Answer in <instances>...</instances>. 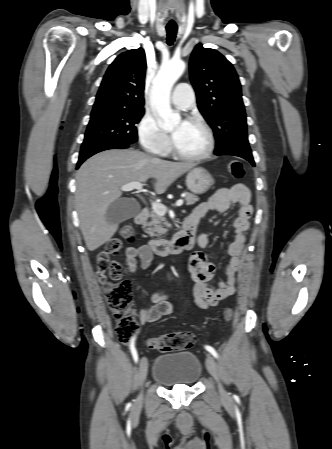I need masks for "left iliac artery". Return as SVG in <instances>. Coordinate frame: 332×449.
<instances>
[{
	"instance_id": "1",
	"label": "left iliac artery",
	"mask_w": 332,
	"mask_h": 449,
	"mask_svg": "<svg viewBox=\"0 0 332 449\" xmlns=\"http://www.w3.org/2000/svg\"><path fill=\"white\" fill-rule=\"evenodd\" d=\"M205 349H206L208 352H210L215 358H218V354H217L216 350H215L213 347H211V346H209V345H206V346H205Z\"/></svg>"
}]
</instances>
